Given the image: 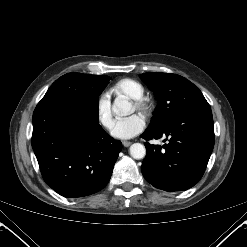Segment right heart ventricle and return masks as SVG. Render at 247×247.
I'll return each mask as SVG.
<instances>
[{"label": "right heart ventricle", "mask_w": 247, "mask_h": 247, "mask_svg": "<svg viewBox=\"0 0 247 247\" xmlns=\"http://www.w3.org/2000/svg\"><path fill=\"white\" fill-rule=\"evenodd\" d=\"M116 94L125 95L130 99H139L143 97L144 88L141 83L131 78L118 80L112 87Z\"/></svg>", "instance_id": "right-heart-ventricle-1"}]
</instances>
